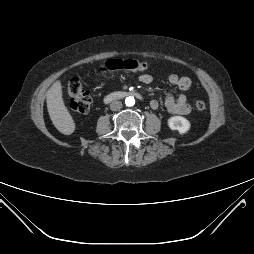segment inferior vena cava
I'll use <instances>...</instances> for the list:
<instances>
[{
  "instance_id": "1",
  "label": "inferior vena cava",
  "mask_w": 254,
  "mask_h": 254,
  "mask_svg": "<svg viewBox=\"0 0 254 254\" xmlns=\"http://www.w3.org/2000/svg\"><path fill=\"white\" fill-rule=\"evenodd\" d=\"M122 102L121 101H113L111 104H110V109L112 111H117L119 109L122 108Z\"/></svg>"
}]
</instances>
